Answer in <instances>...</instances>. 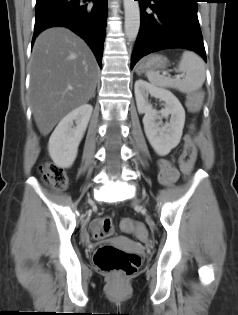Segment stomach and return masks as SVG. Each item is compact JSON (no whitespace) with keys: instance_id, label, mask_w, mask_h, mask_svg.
Here are the masks:
<instances>
[{"instance_id":"obj_1","label":"stomach","mask_w":238,"mask_h":315,"mask_svg":"<svg viewBox=\"0 0 238 315\" xmlns=\"http://www.w3.org/2000/svg\"><path fill=\"white\" fill-rule=\"evenodd\" d=\"M166 66L167 59L162 55L155 54L145 57L138 65L136 71L138 74L148 71L158 72L165 69Z\"/></svg>"}]
</instances>
